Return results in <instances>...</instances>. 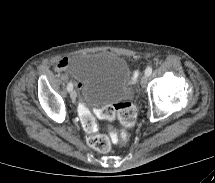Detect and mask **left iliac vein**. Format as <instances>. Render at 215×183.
I'll use <instances>...</instances> for the list:
<instances>
[{"mask_svg": "<svg viewBox=\"0 0 215 183\" xmlns=\"http://www.w3.org/2000/svg\"><path fill=\"white\" fill-rule=\"evenodd\" d=\"M148 77H149V75H147V74H144V75H143V77H142V79H141V86H142V87H146V84H147V82H148Z\"/></svg>", "mask_w": 215, "mask_h": 183, "instance_id": "left-iliac-vein-1", "label": "left iliac vein"}]
</instances>
